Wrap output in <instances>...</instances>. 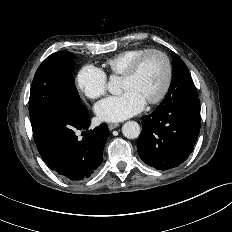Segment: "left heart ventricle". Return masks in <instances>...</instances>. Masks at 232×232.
Returning a JSON list of instances; mask_svg holds the SVG:
<instances>
[{"instance_id":"left-heart-ventricle-1","label":"left heart ventricle","mask_w":232,"mask_h":232,"mask_svg":"<svg viewBox=\"0 0 232 232\" xmlns=\"http://www.w3.org/2000/svg\"><path fill=\"white\" fill-rule=\"evenodd\" d=\"M165 76L166 68L163 58L159 55H151L145 59L135 76L121 79V89L137 93L146 102L159 94L164 85Z\"/></svg>"}]
</instances>
